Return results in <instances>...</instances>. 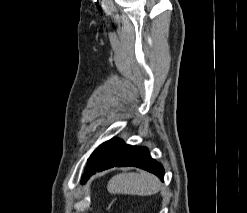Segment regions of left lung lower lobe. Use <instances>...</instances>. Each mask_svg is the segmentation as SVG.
I'll use <instances>...</instances> for the list:
<instances>
[{
	"mask_svg": "<svg viewBox=\"0 0 247 213\" xmlns=\"http://www.w3.org/2000/svg\"><path fill=\"white\" fill-rule=\"evenodd\" d=\"M126 166L142 168L163 180L162 165L151 158L146 147L126 145L122 140L114 138L101 144L91 154L82 177V183H85L97 171Z\"/></svg>",
	"mask_w": 247,
	"mask_h": 213,
	"instance_id": "left-lung-lower-lobe-1",
	"label": "left lung lower lobe"
}]
</instances>
